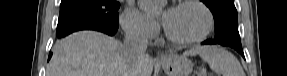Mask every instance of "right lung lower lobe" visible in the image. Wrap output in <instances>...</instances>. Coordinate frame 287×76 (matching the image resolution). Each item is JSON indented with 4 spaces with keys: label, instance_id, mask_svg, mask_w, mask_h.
Masks as SVG:
<instances>
[{
    "label": "right lung lower lobe",
    "instance_id": "right-lung-lower-lobe-1",
    "mask_svg": "<svg viewBox=\"0 0 287 76\" xmlns=\"http://www.w3.org/2000/svg\"><path fill=\"white\" fill-rule=\"evenodd\" d=\"M117 29H118V27H106V26L83 27V28L70 31L68 33H65V34H63L61 36H57V37L62 38V37L66 36L72 32L78 31V30H97V31L106 33L108 35H114L117 32ZM51 56H52V53L49 54L48 60L51 58Z\"/></svg>",
    "mask_w": 287,
    "mask_h": 76
}]
</instances>
